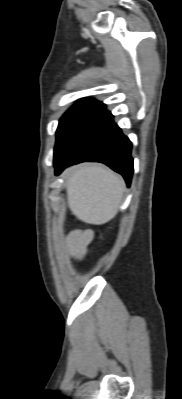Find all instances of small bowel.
Returning <instances> with one entry per match:
<instances>
[{
	"label": "small bowel",
	"instance_id": "1",
	"mask_svg": "<svg viewBox=\"0 0 182 399\" xmlns=\"http://www.w3.org/2000/svg\"><path fill=\"white\" fill-rule=\"evenodd\" d=\"M93 238L94 233L91 229H79L72 231L66 240V254L76 261L84 260L87 256L88 248Z\"/></svg>",
	"mask_w": 182,
	"mask_h": 399
}]
</instances>
